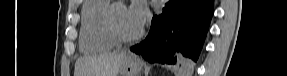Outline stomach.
<instances>
[{
  "instance_id": "1",
  "label": "stomach",
  "mask_w": 287,
  "mask_h": 76,
  "mask_svg": "<svg viewBox=\"0 0 287 76\" xmlns=\"http://www.w3.org/2000/svg\"><path fill=\"white\" fill-rule=\"evenodd\" d=\"M142 68V63L133 55H126L120 70L119 76H138Z\"/></svg>"
}]
</instances>
